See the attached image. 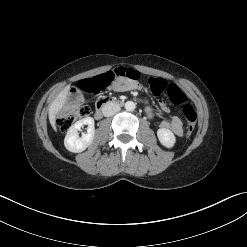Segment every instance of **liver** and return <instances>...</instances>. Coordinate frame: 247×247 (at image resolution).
<instances>
[{"mask_svg": "<svg viewBox=\"0 0 247 247\" xmlns=\"http://www.w3.org/2000/svg\"><path fill=\"white\" fill-rule=\"evenodd\" d=\"M70 89V85H67L54 99L49 107V122L52 128L56 131V115L64 107L67 100V95Z\"/></svg>", "mask_w": 247, "mask_h": 247, "instance_id": "liver-1", "label": "liver"}]
</instances>
